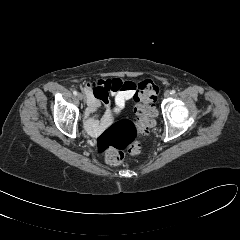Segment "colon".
I'll use <instances>...</instances> for the list:
<instances>
[{
	"instance_id": "1",
	"label": "colon",
	"mask_w": 240,
	"mask_h": 240,
	"mask_svg": "<svg viewBox=\"0 0 240 240\" xmlns=\"http://www.w3.org/2000/svg\"><path fill=\"white\" fill-rule=\"evenodd\" d=\"M158 91V86L151 79L139 82L134 95L135 118L116 122L97 138V149L104 155L107 163L121 164L125 156L124 151L133 155L140 152L141 146L138 138L147 134L154 125Z\"/></svg>"
}]
</instances>
